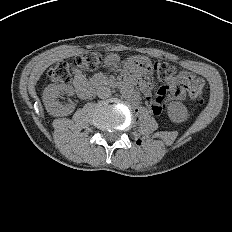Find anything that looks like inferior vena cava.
Segmentation results:
<instances>
[{
	"label": "inferior vena cava",
	"mask_w": 232,
	"mask_h": 232,
	"mask_svg": "<svg viewBox=\"0 0 232 232\" xmlns=\"http://www.w3.org/2000/svg\"><path fill=\"white\" fill-rule=\"evenodd\" d=\"M111 95V89L105 86H100L97 89V96L99 98H108Z\"/></svg>",
	"instance_id": "602c4592"
}]
</instances>
